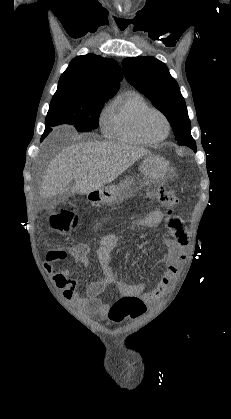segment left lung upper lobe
Returning <instances> with one entry per match:
<instances>
[{"mask_svg":"<svg viewBox=\"0 0 231 419\" xmlns=\"http://www.w3.org/2000/svg\"><path fill=\"white\" fill-rule=\"evenodd\" d=\"M122 68L126 80L166 116L179 145L196 152L185 100L167 66L154 57L143 56L125 58Z\"/></svg>","mask_w":231,"mask_h":419,"instance_id":"1","label":"left lung upper lobe"}]
</instances>
